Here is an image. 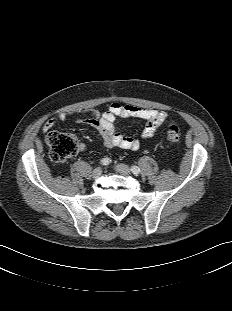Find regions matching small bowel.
<instances>
[{
    "label": "small bowel",
    "mask_w": 232,
    "mask_h": 311,
    "mask_svg": "<svg viewBox=\"0 0 232 311\" xmlns=\"http://www.w3.org/2000/svg\"><path fill=\"white\" fill-rule=\"evenodd\" d=\"M86 112L90 116L79 119V122L97 130L106 148H121L132 151L139 149L140 142L138 139L118 132L116 127L117 118L134 117L145 120L146 124L142 130L141 137L147 140L155 135L158 127L167 117L164 111L135 105H122L117 102L112 103L108 110L104 112L97 109H90ZM68 118L69 114L67 113L56 115L45 122L42 127L43 132L51 131L58 123L65 122ZM85 147L84 143L79 144L80 151H84Z\"/></svg>",
    "instance_id": "1"
}]
</instances>
